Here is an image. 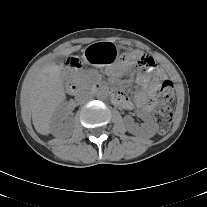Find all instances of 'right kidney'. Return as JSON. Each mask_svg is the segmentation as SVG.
Segmentation results:
<instances>
[{"instance_id":"1","label":"right kidney","mask_w":207,"mask_h":207,"mask_svg":"<svg viewBox=\"0 0 207 207\" xmlns=\"http://www.w3.org/2000/svg\"><path fill=\"white\" fill-rule=\"evenodd\" d=\"M69 119H71V114L67 110L66 105L64 103L60 104L52 117L51 131L57 132L62 130Z\"/></svg>"}]
</instances>
